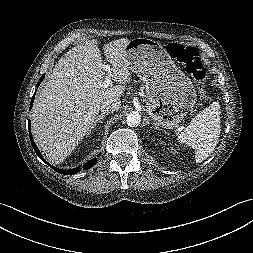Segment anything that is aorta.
I'll return each instance as SVG.
<instances>
[{
	"instance_id": "762f6f07",
	"label": "aorta",
	"mask_w": 253,
	"mask_h": 253,
	"mask_svg": "<svg viewBox=\"0 0 253 253\" xmlns=\"http://www.w3.org/2000/svg\"><path fill=\"white\" fill-rule=\"evenodd\" d=\"M126 121H127L128 126L134 127L140 124L141 116L137 112H132L127 115Z\"/></svg>"
}]
</instances>
